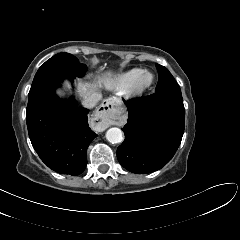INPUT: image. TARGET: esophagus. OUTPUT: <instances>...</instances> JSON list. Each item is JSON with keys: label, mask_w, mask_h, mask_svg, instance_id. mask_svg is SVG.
<instances>
[{"label": "esophagus", "mask_w": 240, "mask_h": 240, "mask_svg": "<svg viewBox=\"0 0 240 240\" xmlns=\"http://www.w3.org/2000/svg\"><path fill=\"white\" fill-rule=\"evenodd\" d=\"M119 104L120 101L117 98H108L102 102L95 112V119L100 126L107 128L114 123L115 107Z\"/></svg>", "instance_id": "1"}]
</instances>
